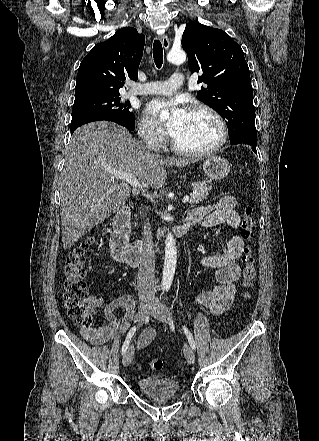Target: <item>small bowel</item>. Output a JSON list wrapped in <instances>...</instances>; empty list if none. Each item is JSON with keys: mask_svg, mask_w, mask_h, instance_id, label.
I'll return each instance as SVG.
<instances>
[{"mask_svg": "<svg viewBox=\"0 0 319 441\" xmlns=\"http://www.w3.org/2000/svg\"><path fill=\"white\" fill-rule=\"evenodd\" d=\"M236 203L234 196H223L213 204L199 206L191 210L187 214L184 223L188 226V229L196 226L210 228L226 224L233 230H237L241 221L235 210ZM243 246L242 238L239 235H232L222 253L205 256L201 259L203 266L215 269V279L218 285L201 292L195 302L208 308L213 316L223 314L233 305L235 282L240 278L241 273L238 259L242 254ZM92 302L96 306L104 305L105 322L97 327H82L81 334L83 337L94 345H102L110 340L125 336L135 316V298L131 294H123L106 304H104L102 297H94ZM118 308L125 310L120 322L115 314ZM154 338V329H145L137 340L138 348H145Z\"/></svg>", "mask_w": 319, "mask_h": 441, "instance_id": "1", "label": "small bowel"}]
</instances>
